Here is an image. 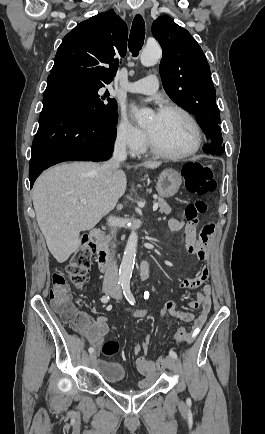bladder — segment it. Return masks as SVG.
I'll return each instance as SVG.
<instances>
[{"label": "bladder", "instance_id": "bladder-1", "mask_svg": "<svg viewBox=\"0 0 265 434\" xmlns=\"http://www.w3.org/2000/svg\"><path fill=\"white\" fill-rule=\"evenodd\" d=\"M97 369L100 376L105 381L112 384L125 386L126 391L132 390L135 392V389L127 386L125 381V369L121 364L116 362H100Z\"/></svg>", "mask_w": 265, "mask_h": 434}]
</instances>
